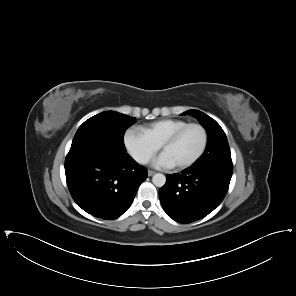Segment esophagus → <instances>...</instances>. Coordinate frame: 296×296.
<instances>
[{
	"label": "esophagus",
	"mask_w": 296,
	"mask_h": 296,
	"mask_svg": "<svg viewBox=\"0 0 296 296\" xmlns=\"http://www.w3.org/2000/svg\"><path fill=\"white\" fill-rule=\"evenodd\" d=\"M155 174V171H153V170H148V176L150 177V176H152V175H154Z\"/></svg>",
	"instance_id": "1"
}]
</instances>
